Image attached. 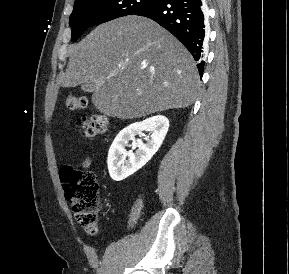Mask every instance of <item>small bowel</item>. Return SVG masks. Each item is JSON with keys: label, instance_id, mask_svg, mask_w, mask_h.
<instances>
[{"label": "small bowel", "instance_id": "1", "mask_svg": "<svg viewBox=\"0 0 289 274\" xmlns=\"http://www.w3.org/2000/svg\"><path fill=\"white\" fill-rule=\"evenodd\" d=\"M80 168L86 169L91 165V159L85 158L82 162L77 164Z\"/></svg>", "mask_w": 289, "mask_h": 274}]
</instances>
